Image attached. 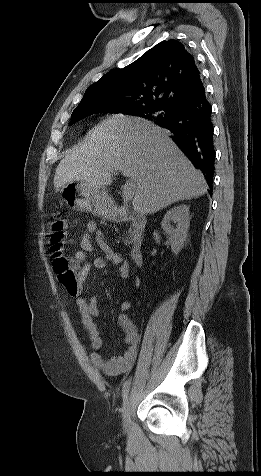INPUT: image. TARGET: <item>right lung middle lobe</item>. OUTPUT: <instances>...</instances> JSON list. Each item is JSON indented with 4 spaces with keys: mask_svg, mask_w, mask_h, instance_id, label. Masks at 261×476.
Here are the masks:
<instances>
[{
    "mask_svg": "<svg viewBox=\"0 0 261 476\" xmlns=\"http://www.w3.org/2000/svg\"><path fill=\"white\" fill-rule=\"evenodd\" d=\"M174 108L166 107L163 105H147L141 106L136 109H128L125 106L120 105H107V104H89L75 108L71 116L70 124L75 123L79 119L91 115L93 113H123L134 116H139L148 120H162L164 117H168Z\"/></svg>",
    "mask_w": 261,
    "mask_h": 476,
    "instance_id": "right-lung-middle-lobe-1",
    "label": "right lung middle lobe"
}]
</instances>
